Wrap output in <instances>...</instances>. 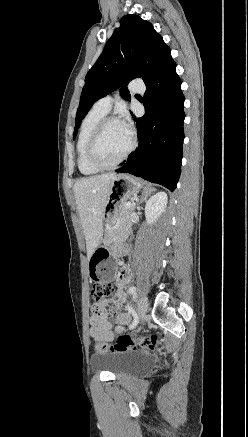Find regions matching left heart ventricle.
<instances>
[{
  "label": "left heart ventricle",
  "instance_id": "obj_1",
  "mask_svg": "<svg viewBox=\"0 0 248 437\" xmlns=\"http://www.w3.org/2000/svg\"><path fill=\"white\" fill-rule=\"evenodd\" d=\"M130 136L126 134L119 122L106 126L97 148V155L104 163L117 160L128 148Z\"/></svg>",
  "mask_w": 248,
  "mask_h": 437
}]
</instances>
